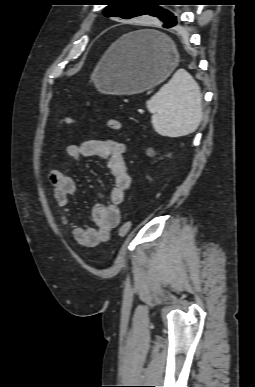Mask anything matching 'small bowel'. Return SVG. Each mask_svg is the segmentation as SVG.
<instances>
[{"mask_svg":"<svg viewBox=\"0 0 255 387\" xmlns=\"http://www.w3.org/2000/svg\"><path fill=\"white\" fill-rule=\"evenodd\" d=\"M125 151L126 147L123 143L111 139H93L79 145L66 146V155L73 159L94 156L106 159L114 178L109 203H97L92 208L91 216L94 227L91 228L81 227L72 220L70 196L77 190L75 180L57 169L49 173L53 197L61 210V223L71 232L74 240L80 246L91 248L107 242L111 237L112 230L118 227L121 222L120 206L124 202L126 191L131 186V178L124 160Z\"/></svg>","mask_w":255,"mask_h":387,"instance_id":"obj_1","label":"small bowel"}]
</instances>
